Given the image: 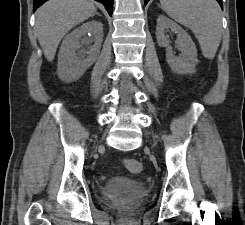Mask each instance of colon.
<instances>
[{"label":"colon","instance_id":"obj_1","mask_svg":"<svg viewBox=\"0 0 245 225\" xmlns=\"http://www.w3.org/2000/svg\"><path fill=\"white\" fill-rule=\"evenodd\" d=\"M123 166L125 170L130 173H139L143 168L142 163L135 159H125Z\"/></svg>","mask_w":245,"mask_h":225}]
</instances>
